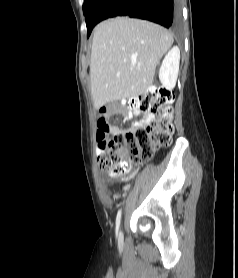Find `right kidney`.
I'll list each match as a JSON object with an SVG mask.
<instances>
[{
	"instance_id": "1",
	"label": "right kidney",
	"mask_w": 238,
	"mask_h": 278,
	"mask_svg": "<svg viewBox=\"0 0 238 278\" xmlns=\"http://www.w3.org/2000/svg\"><path fill=\"white\" fill-rule=\"evenodd\" d=\"M180 61V50L173 47L165 56L159 71V79L166 88H173L176 84Z\"/></svg>"
}]
</instances>
